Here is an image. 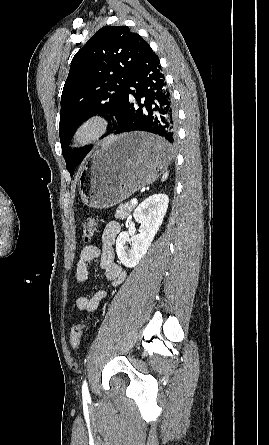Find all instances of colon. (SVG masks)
Instances as JSON below:
<instances>
[{"label":"colon","instance_id":"obj_1","mask_svg":"<svg viewBox=\"0 0 269 445\" xmlns=\"http://www.w3.org/2000/svg\"><path fill=\"white\" fill-rule=\"evenodd\" d=\"M98 230V223L94 218H87L82 223V238L83 241L88 242L96 234ZM87 324H77L72 327L70 333V345L73 349H78L81 343V338Z\"/></svg>","mask_w":269,"mask_h":445}]
</instances>
